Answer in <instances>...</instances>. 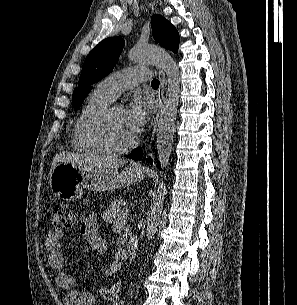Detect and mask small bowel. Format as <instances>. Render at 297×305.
<instances>
[{
  "mask_svg": "<svg viewBox=\"0 0 297 305\" xmlns=\"http://www.w3.org/2000/svg\"><path fill=\"white\" fill-rule=\"evenodd\" d=\"M98 218L96 214L89 215L83 222L80 232L94 252L104 254L108 246L98 234ZM63 232L58 229H50L45 240V247L49 253L48 263L54 272L57 285L66 291L65 305H96V298L93 294L80 291L75 288V277L65 269V257L61 251ZM121 284L116 283L109 288H100L97 291L99 297L111 302L113 305H125L119 295Z\"/></svg>",
  "mask_w": 297,
  "mask_h": 305,
  "instance_id": "c3829d8e",
  "label": "small bowel"
}]
</instances>
